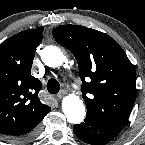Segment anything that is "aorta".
<instances>
[{"mask_svg": "<svg viewBox=\"0 0 145 145\" xmlns=\"http://www.w3.org/2000/svg\"><path fill=\"white\" fill-rule=\"evenodd\" d=\"M41 59L49 67L62 65L65 57L62 51L56 46H46L40 53ZM62 110L68 122L79 124L86 115L85 106L79 96L69 94L62 100Z\"/></svg>", "mask_w": 145, "mask_h": 145, "instance_id": "obj_1", "label": "aorta"}]
</instances>
